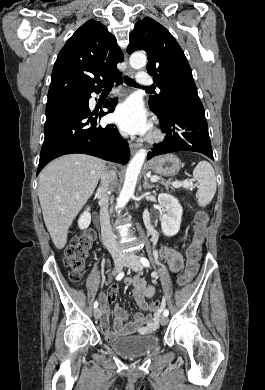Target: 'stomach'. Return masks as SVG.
I'll return each mask as SVG.
<instances>
[{"mask_svg":"<svg viewBox=\"0 0 265 390\" xmlns=\"http://www.w3.org/2000/svg\"><path fill=\"white\" fill-rule=\"evenodd\" d=\"M150 169L159 175L174 176L181 169V161L174 154H166L154 158L150 163Z\"/></svg>","mask_w":265,"mask_h":390,"instance_id":"1","label":"stomach"}]
</instances>
